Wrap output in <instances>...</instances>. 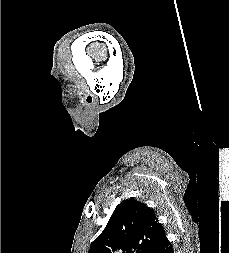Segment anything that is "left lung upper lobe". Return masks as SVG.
Returning a JSON list of instances; mask_svg holds the SVG:
<instances>
[{
    "mask_svg": "<svg viewBox=\"0 0 229 253\" xmlns=\"http://www.w3.org/2000/svg\"><path fill=\"white\" fill-rule=\"evenodd\" d=\"M165 237L150 207L137 200H123L88 253H154Z\"/></svg>",
    "mask_w": 229,
    "mask_h": 253,
    "instance_id": "1",
    "label": "left lung upper lobe"
}]
</instances>
